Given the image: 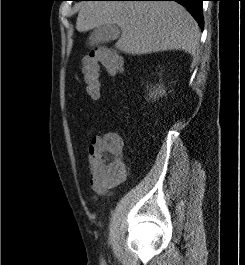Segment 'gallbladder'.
Masks as SVG:
<instances>
[{"instance_id": "gallbladder-1", "label": "gallbladder", "mask_w": 245, "mask_h": 265, "mask_svg": "<svg viewBox=\"0 0 245 265\" xmlns=\"http://www.w3.org/2000/svg\"><path fill=\"white\" fill-rule=\"evenodd\" d=\"M120 36V29L117 25H101L94 28L89 37L91 45H99L117 40Z\"/></svg>"}]
</instances>
